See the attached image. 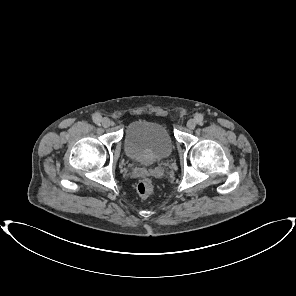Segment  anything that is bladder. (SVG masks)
<instances>
[{"label": "bladder", "instance_id": "obj_1", "mask_svg": "<svg viewBox=\"0 0 296 296\" xmlns=\"http://www.w3.org/2000/svg\"><path fill=\"white\" fill-rule=\"evenodd\" d=\"M123 145L125 154L142 164L163 160L173 150L172 137L167 127L147 120H137L128 125Z\"/></svg>", "mask_w": 296, "mask_h": 296}]
</instances>
